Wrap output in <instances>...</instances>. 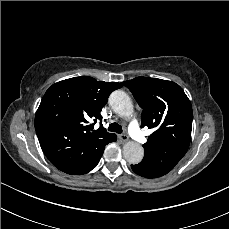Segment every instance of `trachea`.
<instances>
[{"label": "trachea", "mask_w": 229, "mask_h": 229, "mask_svg": "<svg viewBox=\"0 0 229 229\" xmlns=\"http://www.w3.org/2000/svg\"><path fill=\"white\" fill-rule=\"evenodd\" d=\"M108 130L111 132H116L118 134L122 133V126L119 125L118 123L114 122L111 123L108 127Z\"/></svg>", "instance_id": "obj_1"}]
</instances>
